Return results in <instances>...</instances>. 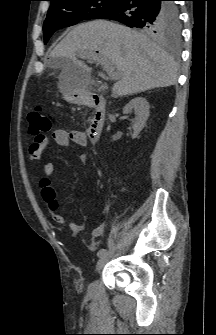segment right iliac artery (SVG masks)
<instances>
[{
    "instance_id": "82829eb1",
    "label": "right iliac artery",
    "mask_w": 216,
    "mask_h": 335,
    "mask_svg": "<svg viewBox=\"0 0 216 335\" xmlns=\"http://www.w3.org/2000/svg\"><path fill=\"white\" fill-rule=\"evenodd\" d=\"M106 251H107V250L104 249V248H103V249H100V250L97 252V256H98V257L103 256V255L106 253Z\"/></svg>"
}]
</instances>
